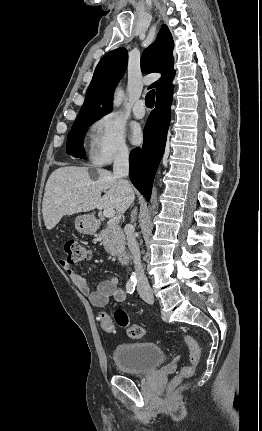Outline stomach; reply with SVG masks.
<instances>
[{
    "label": "stomach",
    "instance_id": "0dacf381",
    "mask_svg": "<svg viewBox=\"0 0 262 431\" xmlns=\"http://www.w3.org/2000/svg\"><path fill=\"white\" fill-rule=\"evenodd\" d=\"M75 228L82 234H94L97 230V225L93 216L79 215L75 219Z\"/></svg>",
    "mask_w": 262,
    "mask_h": 431
}]
</instances>
